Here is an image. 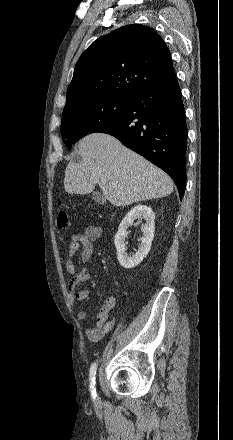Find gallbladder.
<instances>
[{"label": "gallbladder", "instance_id": "1", "mask_svg": "<svg viewBox=\"0 0 233 440\" xmlns=\"http://www.w3.org/2000/svg\"><path fill=\"white\" fill-rule=\"evenodd\" d=\"M92 199L99 204H104L106 202V198L99 192L92 193Z\"/></svg>", "mask_w": 233, "mask_h": 440}]
</instances>
